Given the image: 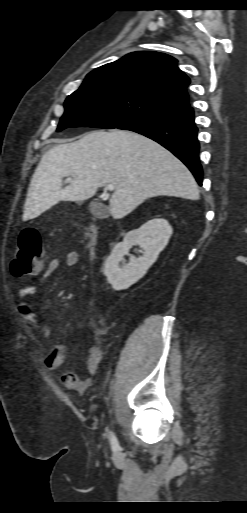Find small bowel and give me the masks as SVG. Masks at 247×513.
Returning <instances> with one entry per match:
<instances>
[{
	"label": "small bowel",
	"mask_w": 247,
	"mask_h": 513,
	"mask_svg": "<svg viewBox=\"0 0 247 513\" xmlns=\"http://www.w3.org/2000/svg\"><path fill=\"white\" fill-rule=\"evenodd\" d=\"M79 263V254L75 251H68L65 254L64 264L68 268L76 267ZM60 265V261L57 257H53L50 259L48 265L41 269L42 277L40 281L50 277L52 274L56 272ZM39 281V282H40ZM38 286V282L30 283L25 285L20 293L17 303V308L20 314L35 328V330L44 338L49 339L51 337V327L48 322L41 320L33 311L30 305V298L33 295L36 287ZM71 352V348L65 343L55 344L51 351L44 359V365L51 371H55L60 369L67 357V355ZM102 351L99 346L93 345L89 348V351L86 355L84 361V368L89 375L94 374L101 362ZM61 381L66 388L69 389H84L86 388L91 379L85 378L82 379L75 371H67L64 372L61 376Z\"/></svg>",
	"instance_id": "1"
}]
</instances>
